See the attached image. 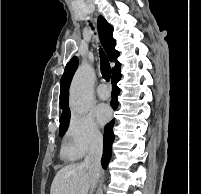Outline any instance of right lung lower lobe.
<instances>
[{
  "label": "right lung lower lobe",
  "mask_w": 201,
  "mask_h": 194,
  "mask_svg": "<svg viewBox=\"0 0 201 194\" xmlns=\"http://www.w3.org/2000/svg\"><path fill=\"white\" fill-rule=\"evenodd\" d=\"M121 74L120 70L112 73V100H111V106L115 110L118 107V100L117 96L120 93V89L117 87L116 83L120 80ZM113 126H114V120L110 121L104 129V150H103V156L101 159V164L104 169H106L110 158H111V151H112V143L114 140V133H113Z\"/></svg>",
  "instance_id": "right-lung-lower-lobe-1"
}]
</instances>
